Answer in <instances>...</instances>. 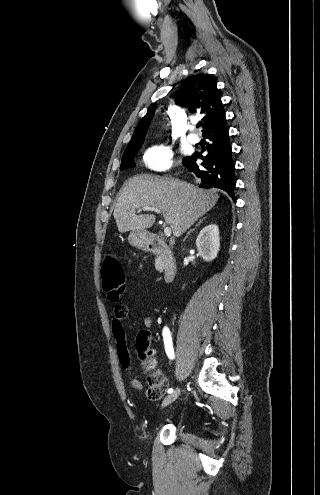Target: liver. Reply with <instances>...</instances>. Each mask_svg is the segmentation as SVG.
<instances>
[{
    "label": "liver",
    "mask_w": 320,
    "mask_h": 495,
    "mask_svg": "<svg viewBox=\"0 0 320 495\" xmlns=\"http://www.w3.org/2000/svg\"><path fill=\"white\" fill-rule=\"evenodd\" d=\"M218 199L215 190L199 189L173 178L138 175L126 182L113 216L120 233L144 231L154 224L155 216L136 215V210L146 206L158 208L173 235L180 237L210 211Z\"/></svg>",
    "instance_id": "obj_1"
}]
</instances>
